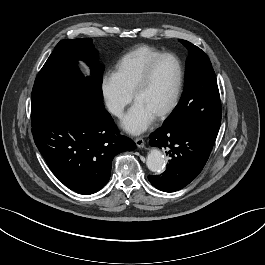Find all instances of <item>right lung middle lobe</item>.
<instances>
[{
  "mask_svg": "<svg viewBox=\"0 0 265 265\" xmlns=\"http://www.w3.org/2000/svg\"><path fill=\"white\" fill-rule=\"evenodd\" d=\"M78 59L92 66L90 78L84 79L79 72ZM103 71L104 65L97 63V51L91 39L60 41L35 79L31 96L32 126L79 93L102 101Z\"/></svg>",
  "mask_w": 265,
  "mask_h": 265,
  "instance_id": "1",
  "label": "right lung middle lobe"
}]
</instances>
